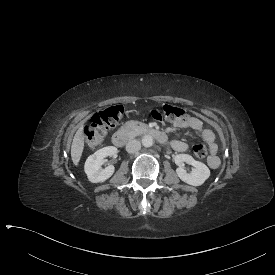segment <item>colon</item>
Here are the masks:
<instances>
[{"instance_id": "colon-1", "label": "colon", "mask_w": 275, "mask_h": 275, "mask_svg": "<svg viewBox=\"0 0 275 275\" xmlns=\"http://www.w3.org/2000/svg\"><path fill=\"white\" fill-rule=\"evenodd\" d=\"M123 112V106L116 104L95 113L83 129L87 146L91 149L101 147L107 135V130L119 121ZM149 115L153 120L159 122L164 120L174 122L184 118L187 115V110L182 107L165 104L161 108L152 109ZM193 152L197 158L203 159L208 154V146L204 142L198 143L194 146Z\"/></svg>"}]
</instances>
